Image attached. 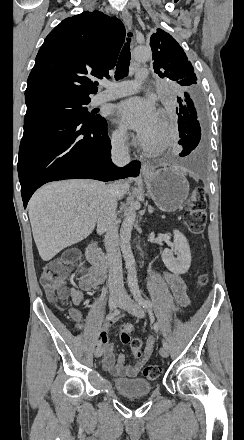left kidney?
I'll use <instances>...</instances> for the list:
<instances>
[{
    "instance_id": "obj_1",
    "label": "left kidney",
    "mask_w": 244,
    "mask_h": 440,
    "mask_svg": "<svg viewBox=\"0 0 244 440\" xmlns=\"http://www.w3.org/2000/svg\"><path fill=\"white\" fill-rule=\"evenodd\" d=\"M174 248L163 250L162 260L172 274H186L191 266L190 246L179 230H173ZM176 254L177 258H174Z\"/></svg>"
}]
</instances>
